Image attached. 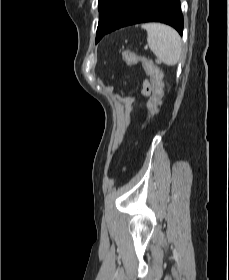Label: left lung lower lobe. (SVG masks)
Wrapping results in <instances>:
<instances>
[{
	"instance_id": "0a47b994",
	"label": "left lung lower lobe",
	"mask_w": 229,
	"mask_h": 280,
	"mask_svg": "<svg viewBox=\"0 0 229 280\" xmlns=\"http://www.w3.org/2000/svg\"><path fill=\"white\" fill-rule=\"evenodd\" d=\"M153 21L168 24L182 35L180 0H129L121 16L105 34L128 25ZM101 38H97L96 43Z\"/></svg>"
}]
</instances>
